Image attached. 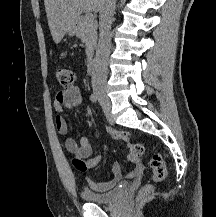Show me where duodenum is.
Masks as SVG:
<instances>
[{"mask_svg":"<svg viewBox=\"0 0 216 217\" xmlns=\"http://www.w3.org/2000/svg\"><path fill=\"white\" fill-rule=\"evenodd\" d=\"M95 68V58L92 54L89 56V61H88V73H93Z\"/></svg>","mask_w":216,"mask_h":217,"instance_id":"duodenum-1","label":"duodenum"}]
</instances>
